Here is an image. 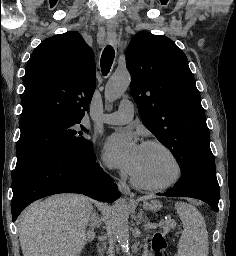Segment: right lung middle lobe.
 I'll return each mask as SVG.
<instances>
[{
  "mask_svg": "<svg viewBox=\"0 0 236 256\" xmlns=\"http://www.w3.org/2000/svg\"><path fill=\"white\" fill-rule=\"evenodd\" d=\"M81 119L57 113L42 112L20 118V138L17 144V163L34 155L62 151L81 153L92 149L84 137Z\"/></svg>",
  "mask_w": 236,
  "mask_h": 256,
  "instance_id": "1",
  "label": "right lung middle lobe"
}]
</instances>
